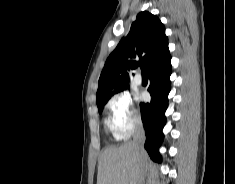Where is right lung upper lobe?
Returning a JSON list of instances; mask_svg holds the SVG:
<instances>
[{
  "label": "right lung upper lobe",
  "instance_id": "cb5924a9",
  "mask_svg": "<svg viewBox=\"0 0 235 184\" xmlns=\"http://www.w3.org/2000/svg\"><path fill=\"white\" fill-rule=\"evenodd\" d=\"M165 27L158 17L140 12L123 38L106 60L99 78L97 106L105 105L115 89L128 86L127 70L144 64L146 72L169 55Z\"/></svg>",
  "mask_w": 235,
  "mask_h": 184
}]
</instances>
